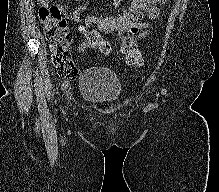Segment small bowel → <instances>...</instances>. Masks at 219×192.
Returning a JSON list of instances; mask_svg holds the SVG:
<instances>
[{"mask_svg":"<svg viewBox=\"0 0 219 192\" xmlns=\"http://www.w3.org/2000/svg\"><path fill=\"white\" fill-rule=\"evenodd\" d=\"M122 1L113 0L112 7L106 8L98 15L85 17L79 15V12L84 9L83 7L70 12L63 3H58V6L77 25L79 32L83 35V41L75 51L77 54H81L87 49L95 50V42L102 39V33L117 32L121 35L128 31L136 42L147 38L151 20L159 17V5L167 0H130L129 5L118 11L117 8Z\"/></svg>","mask_w":219,"mask_h":192,"instance_id":"1","label":"small bowel"}]
</instances>
